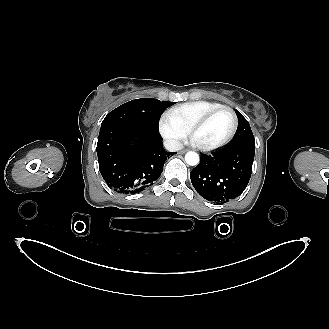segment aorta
Listing matches in <instances>:
<instances>
[{
    "label": "aorta",
    "mask_w": 329,
    "mask_h": 329,
    "mask_svg": "<svg viewBox=\"0 0 329 329\" xmlns=\"http://www.w3.org/2000/svg\"><path fill=\"white\" fill-rule=\"evenodd\" d=\"M199 155L196 152L189 151L185 155V161L190 166H196L199 164Z\"/></svg>",
    "instance_id": "obj_1"
}]
</instances>
